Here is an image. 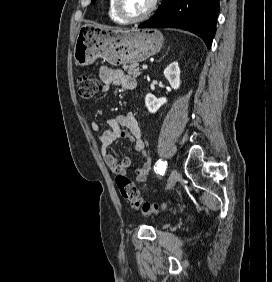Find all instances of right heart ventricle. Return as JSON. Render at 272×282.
I'll return each instance as SVG.
<instances>
[{
    "label": "right heart ventricle",
    "mask_w": 272,
    "mask_h": 282,
    "mask_svg": "<svg viewBox=\"0 0 272 282\" xmlns=\"http://www.w3.org/2000/svg\"><path fill=\"white\" fill-rule=\"evenodd\" d=\"M109 16L110 18L116 22V23H119V24H127L126 21H124L123 19H121L117 13L115 12V9L113 7V0H110L109 2Z\"/></svg>",
    "instance_id": "1"
}]
</instances>
